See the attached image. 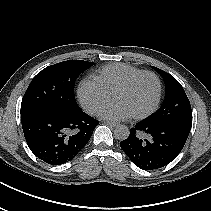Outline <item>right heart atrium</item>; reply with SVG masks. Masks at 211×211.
Segmentation results:
<instances>
[{
    "label": "right heart atrium",
    "instance_id": "1",
    "mask_svg": "<svg viewBox=\"0 0 211 211\" xmlns=\"http://www.w3.org/2000/svg\"><path fill=\"white\" fill-rule=\"evenodd\" d=\"M78 97L87 112L97 114L110 101L111 94L95 78H86L78 87Z\"/></svg>",
    "mask_w": 211,
    "mask_h": 211
}]
</instances>
